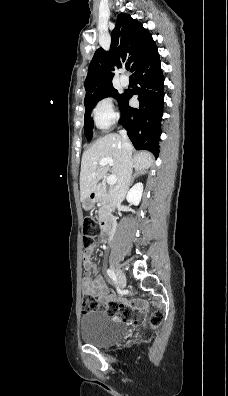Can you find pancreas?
Segmentation results:
<instances>
[{
	"label": "pancreas",
	"mask_w": 228,
	"mask_h": 396,
	"mask_svg": "<svg viewBox=\"0 0 228 396\" xmlns=\"http://www.w3.org/2000/svg\"><path fill=\"white\" fill-rule=\"evenodd\" d=\"M96 198L100 202L99 220H106L112 212V191L107 189L104 183H100L96 188Z\"/></svg>",
	"instance_id": "cf45deb5"
}]
</instances>
